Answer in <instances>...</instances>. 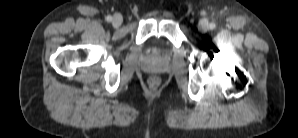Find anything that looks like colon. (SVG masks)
Returning a JSON list of instances; mask_svg holds the SVG:
<instances>
[{
  "label": "colon",
  "mask_w": 298,
  "mask_h": 138,
  "mask_svg": "<svg viewBox=\"0 0 298 138\" xmlns=\"http://www.w3.org/2000/svg\"><path fill=\"white\" fill-rule=\"evenodd\" d=\"M157 83H158V79L157 78L154 77V78L151 79V84L152 85H155Z\"/></svg>",
  "instance_id": "colon-1"
}]
</instances>
